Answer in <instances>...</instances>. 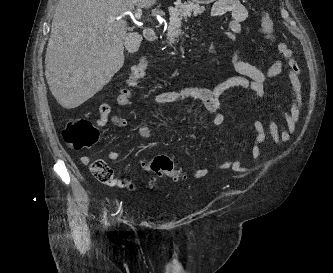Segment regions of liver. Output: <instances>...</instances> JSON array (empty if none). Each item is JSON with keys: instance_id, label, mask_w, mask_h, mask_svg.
<instances>
[{"instance_id": "liver-1", "label": "liver", "mask_w": 333, "mask_h": 273, "mask_svg": "<svg viewBox=\"0 0 333 273\" xmlns=\"http://www.w3.org/2000/svg\"><path fill=\"white\" fill-rule=\"evenodd\" d=\"M156 0H59L45 56L52 95L66 109L93 97L124 64L127 23L135 7ZM120 18V19H117Z\"/></svg>"}]
</instances>
